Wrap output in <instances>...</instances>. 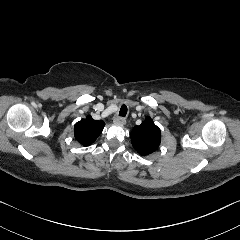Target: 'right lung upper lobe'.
Returning <instances> with one entry per match:
<instances>
[{"instance_id":"obj_1","label":"right lung upper lobe","mask_w":240,"mask_h":240,"mask_svg":"<svg viewBox=\"0 0 240 240\" xmlns=\"http://www.w3.org/2000/svg\"><path fill=\"white\" fill-rule=\"evenodd\" d=\"M104 125L103 121H96L91 116H87L86 119L75 124V138L82 145L88 146L101 134Z\"/></svg>"}]
</instances>
